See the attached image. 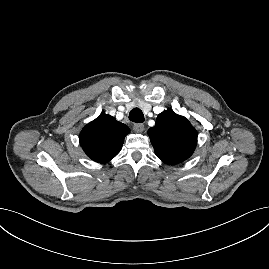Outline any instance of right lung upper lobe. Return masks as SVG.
Segmentation results:
<instances>
[{"instance_id": "1", "label": "right lung upper lobe", "mask_w": 269, "mask_h": 269, "mask_svg": "<svg viewBox=\"0 0 269 269\" xmlns=\"http://www.w3.org/2000/svg\"><path fill=\"white\" fill-rule=\"evenodd\" d=\"M129 133L128 126L103 113L82 129L79 140L93 161L107 163L120 152L124 138Z\"/></svg>"}]
</instances>
